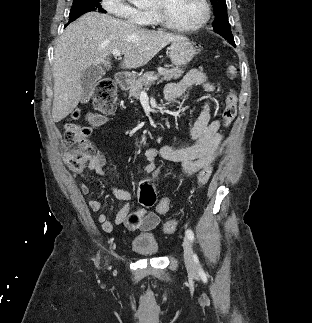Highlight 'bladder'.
<instances>
[{"instance_id": "1", "label": "bladder", "mask_w": 312, "mask_h": 323, "mask_svg": "<svg viewBox=\"0 0 312 323\" xmlns=\"http://www.w3.org/2000/svg\"><path fill=\"white\" fill-rule=\"evenodd\" d=\"M131 248L140 255H154L158 253V244L154 234L136 235L132 238Z\"/></svg>"}]
</instances>
